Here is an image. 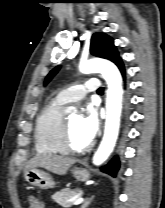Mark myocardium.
Masks as SVG:
<instances>
[{
  "instance_id": "1",
  "label": "myocardium",
  "mask_w": 165,
  "mask_h": 208,
  "mask_svg": "<svg viewBox=\"0 0 165 208\" xmlns=\"http://www.w3.org/2000/svg\"><path fill=\"white\" fill-rule=\"evenodd\" d=\"M61 148L65 153L80 154L89 151L92 147V144H88L84 147H75L72 145L70 140V126L68 118H64L62 129H61V138H60Z\"/></svg>"
}]
</instances>
